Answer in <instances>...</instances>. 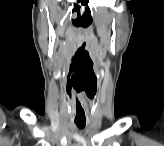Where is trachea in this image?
Instances as JSON below:
<instances>
[{"label": "trachea", "instance_id": "trachea-1", "mask_svg": "<svg viewBox=\"0 0 164 146\" xmlns=\"http://www.w3.org/2000/svg\"><path fill=\"white\" fill-rule=\"evenodd\" d=\"M78 128L83 129L86 125V122L84 121H75Z\"/></svg>", "mask_w": 164, "mask_h": 146}]
</instances>
